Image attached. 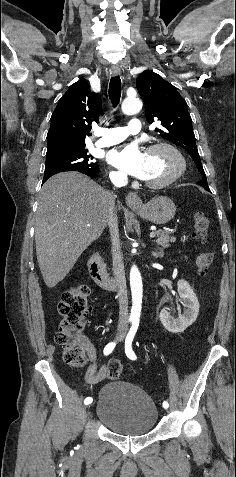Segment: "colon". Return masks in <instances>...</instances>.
I'll return each instance as SVG.
<instances>
[{
	"label": "colon",
	"mask_w": 236,
	"mask_h": 477,
	"mask_svg": "<svg viewBox=\"0 0 236 477\" xmlns=\"http://www.w3.org/2000/svg\"><path fill=\"white\" fill-rule=\"evenodd\" d=\"M194 236L204 241L211 230V220L203 213H197L194 218ZM213 262V254L210 252L199 253L195 260L197 270L205 275ZM89 288L86 285H78L66 291L57 307L60 315L59 330L55 335L56 343L63 348L64 361L74 367L84 366L86 359L80 334L87 324L86 316L90 310ZM108 376L111 380H117L122 373V363L112 359L107 365Z\"/></svg>",
	"instance_id": "5ec220e1"
}]
</instances>
